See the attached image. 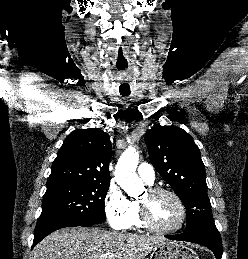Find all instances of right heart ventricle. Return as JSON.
I'll use <instances>...</instances> for the list:
<instances>
[{
    "label": "right heart ventricle",
    "mask_w": 248,
    "mask_h": 259,
    "mask_svg": "<svg viewBox=\"0 0 248 259\" xmlns=\"http://www.w3.org/2000/svg\"><path fill=\"white\" fill-rule=\"evenodd\" d=\"M127 228H132L136 230H141L144 228L140 219L139 205L137 201H131V213Z\"/></svg>",
    "instance_id": "e07e8e85"
}]
</instances>
